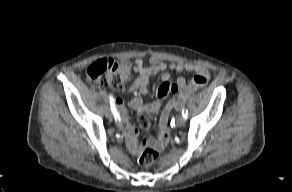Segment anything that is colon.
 <instances>
[{
	"mask_svg": "<svg viewBox=\"0 0 292 192\" xmlns=\"http://www.w3.org/2000/svg\"><path fill=\"white\" fill-rule=\"evenodd\" d=\"M130 72L131 69L128 63L119 62L111 58H103L93 62L88 67L87 77L90 82L98 86H110L115 89H120L129 79ZM140 124L146 129L149 125L148 118L141 117ZM167 139H169V136ZM158 156L159 149L155 146L145 147L139 154L138 163L144 167L151 166L157 160Z\"/></svg>",
	"mask_w": 292,
	"mask_h": 192,
	"instance_id": "colon-1",
	"label": "colon"
}]
</instances>
